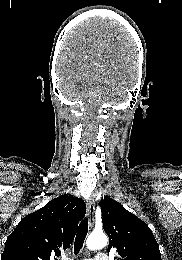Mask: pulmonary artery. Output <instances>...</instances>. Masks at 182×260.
Listing matches in <instances>:
<instances>
[{
    "instance_id": "obj_1",
    "label": "pulmonary artery",
    "mask_w": 182,
    "mask_h": 260,
    "mask_svg": "<svg viewBox=\"0 0 182 260\" xmlns=\"http://www.w3.org/2000/svg\"><path fill=\"white\" fill-rule=\"evenodd\" d=\"M85 260H108V257L105 253H98L95 255L93 259H85Z\"/></svg>"
}]
</instances>
